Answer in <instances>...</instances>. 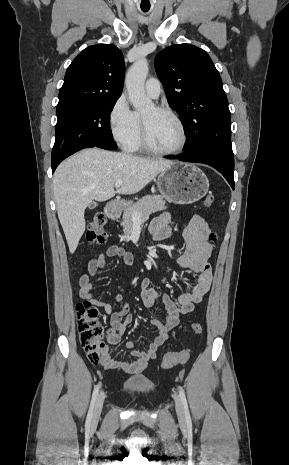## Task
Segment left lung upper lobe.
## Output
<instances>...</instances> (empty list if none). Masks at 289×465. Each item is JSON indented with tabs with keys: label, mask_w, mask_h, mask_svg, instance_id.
Returning <instances> with one entry per match:
<instances>
[{
	"label": "left lung upper lobe",
	"mask_w": 289,
	"mask_h": 465,
	"mask_svg": "<svg viewBox=\"0 0 289 465\" xmlns=\"http://www.w3.org/2000/svg\"><path fill=\"white\" fill-rule=\"evenodd\" d=\"M169 105L181 116L184 152L231 147V114L222 80L209 55L194 45H172L155 57Z\"/></svg>",
	"instance_id": "1"
}]
</instances>
